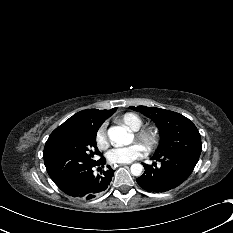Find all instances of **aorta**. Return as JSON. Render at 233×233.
<instances>
[{"mask_svg": "<svg viewBox=\"0 0 233 233\" xmlns=\"http://www.w3.org/2000/svg\"><path fill=\"white\" fill-rule=\"evenodd\" d=\"M108 136L113 146L119 147L122 145H128L132 142V135L122 126H113L108 130ZM131 174L134 176H140L143 170V166L139 163L131 165Z\"/></svg>", "mask_w": 233, "mask_h": 233, "instance_id": "aorta-1", "label": "aorta"}]
</instances>
